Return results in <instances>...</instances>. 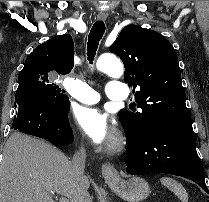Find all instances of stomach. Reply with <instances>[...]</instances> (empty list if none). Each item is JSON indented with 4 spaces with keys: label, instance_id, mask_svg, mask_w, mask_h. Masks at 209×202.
Instances as JSON below:
<instances>
[{
    "label": "stomach",
    "instance_id": "1",
    "mask_svg": "<svg viewBox=\"0 0 209 202\" xmlns=\"http://www.w3.org/2000/svg\"><path fill=\"white\" fill-rule=\"evenodd\" d=\"M106 180L112 191L128 202H140L150 193L148 182L141 177L117 178L115 180L107 178Z\"/></svg>",
    "mask_w": 209,
    "mask_h": 202
}]
</instances>
